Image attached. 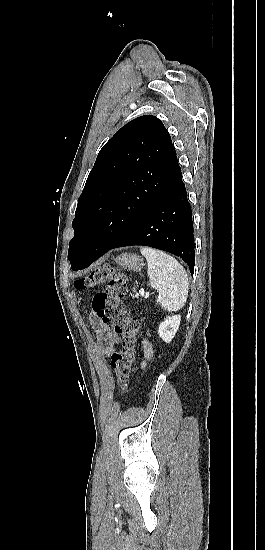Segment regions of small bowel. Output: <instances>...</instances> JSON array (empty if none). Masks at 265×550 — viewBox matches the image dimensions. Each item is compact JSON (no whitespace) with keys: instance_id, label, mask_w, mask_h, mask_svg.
Here are the masks:
<instances>
[{"instance_id":"c3829d8e","label":"small bowel","mask_w":265,"mask_h":550,"mask_svg":"<svg viewBox=\"0 0 265 550\" xmlns=\"http://www.w3.org/2000/svg\"><path fill=\"white\" fill-rule=\"evenodd\" d=\"M91 322L97 335V344L100 354L106 358H111L117 350V344L120 342V336L111 331L108 324L104 323L97 315H92ZM143 355L145 360L153 357V349L149 342L143 343Z\"/></svg>"}]
</instances>
